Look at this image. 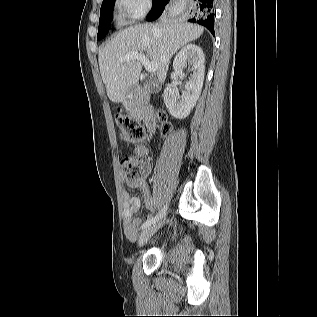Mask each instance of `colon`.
I'll use <instances>...</instances> for the list:
<instances>
[{
    "label": "colon",
    "mask_w": 317,
    "mask_h": 317,
    "mask_svg": "<svg viewBox=\"0 0 317 317\" xmlns=\"http://www.w3.org/2000/svg\"><path fill=\"white\" fill-rule=\"evenodd\" d=\"M155 116L161 123L162 132L167 134L170 131V125L167 122L165 112L161 110L156 111ZM117 122L123 138L128 142L140 143L145 140V130L135 119L119 115L117 117ZM121 168L124 171L127 180L131 183H135L148 175L150 165L146 159L135 156H125L121 160Z\"/></svg>",
    "instance_id": "obj_1"
}]
</instances>
